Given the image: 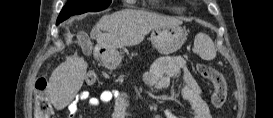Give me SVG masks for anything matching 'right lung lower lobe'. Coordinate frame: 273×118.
<instances>
[{
    "label": "right lung lower lobe",
    "mask_w": 273,
    "mask_h": 118,
    "mask_svg": "<svg viewBox=\"0 0 273 118\" xmlns=\"http://www.w3.org/2000/svg\"><path fill=\"white\" fill-rule=\"evenodd\" d=\"M64 20H66V19H64V18H58L56 24L58 25L59 23H61Z\"/></svg>",
    "instance_id": "98d812e1"
}]
</instances>
